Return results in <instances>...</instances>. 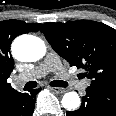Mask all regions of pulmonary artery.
<instances>
[{"label": "pulmonary artery", "mask_w": 116, "mask_h": 116, "mask_svg": "<svg viewBox=\"0 0 116 116\" xmlns=\"http://www.w3.org/2000/svg\"><path fill=\"white\" fill-rule=\"evenodd\" d=\"M49 72H54L58 77L66 82L75 83L76 87L82 91H85L89 86L88 80H79L76 78L75 74L68 72L63 67L57 56L53 53L48 54L47 57L38 66H36L31 73L19 75L17 80L24 81L29 77L38 78L46 75Z\"/></svg>", "instance_id": "e3ab8cb5"}]
</instances>
